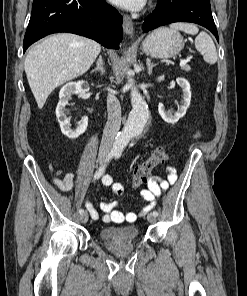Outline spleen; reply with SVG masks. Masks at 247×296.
<instances>
[{
	"label": "spleen",
	"instance_id": "3e777b00",
	"mask_svg": "<svg viewBox=\"0 0 247 296\" xmlns=\"http://www.w3.org/2000/svg\"><path fill=\"white\" fill-rule=\"evenodd\" d=\"M170 28L180 30L184 33L196 35L199 29L196 25L191 23H173ZM195 48L203 54L205 62L215 64L217 61V51L212 38L204 31L200 32L195 38Z\"/></svg>",
	"mask_w": 247,
	"mask_h": 296
}]
</instances>
